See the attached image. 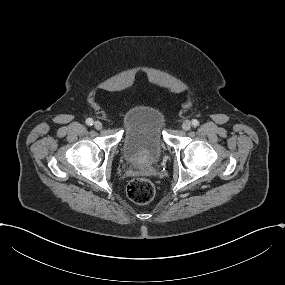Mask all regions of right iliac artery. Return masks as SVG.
<instances>
[{
    "mask_svg": "<svg viewBox=\"0 0 285 285\" xmlns=\"http://www.w3.org/2000/svg\"><path fill=\"white\" fill-rule=\"evenodd\" d=\"M86 124H87V125H93V120H92L91 118H88V119L86 120Z\"/></svg>",
    "mask_w": 285,
    "mask_h": 285,
    "instance_id": "obj_1",
    "label": "right iliac artery"
}]
</instances>
